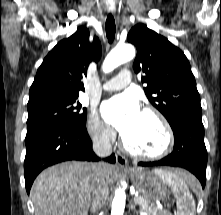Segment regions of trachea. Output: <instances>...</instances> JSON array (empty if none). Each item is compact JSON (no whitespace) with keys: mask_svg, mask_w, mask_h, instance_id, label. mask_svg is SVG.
<instances>
[{"mask_svg":"<svg viewBox=\"0 0 221 215\" xmlns=\"http://www.w3.org/2000/svg\"><path fill=\"white\" fill-rule=\"evenodd\" d=\"M106 35L111 44L115 38V20L111 14L108 15L106 20Z\"/></svg>","mask_w":221,"mask_h":215,"instance_id":"1","label":"trachea"}]
</instances>
